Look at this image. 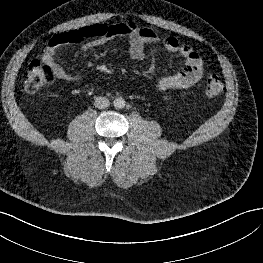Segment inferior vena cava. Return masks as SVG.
I'll return each mask as SVG.
<instances>
[{
  "label": "inferior vena cava",
  "mask_w": 263,
  "mask_h": 263,
  "mask_svg": "<svg viewBox=\"0 0 263 263\" xmlns=\"http://www.w3.org/2000/svg\"><path fill=\"white\" fill-rule=\"evenodd\" d=\"M94 105L98 109H105L110 105L109 99L99 96L95 99Z\"/></svg>",
  "instance_id": "602c4592"
}]
</instances>
